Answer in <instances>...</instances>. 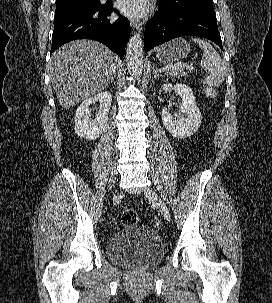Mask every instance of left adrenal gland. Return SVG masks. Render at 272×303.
Returning <instances> with one entry per match:
<instances>
[{
	"label": "left adrenal gland",
	"instance_id": "1",
	"mask_svg": "<svg viewBox=\"0 0 272 303\" xmlns=\"http://www.w3.org/2000/svg\"><path fill=\"white\" fill-rule=\"evenodd\" d=\"M153 74H154V77H159V76H164L165 75L160 70H158L157 68H153Z\"/></svg>",
	"mask_w": 272,
	"mask_h": 303
}]
</instances>
